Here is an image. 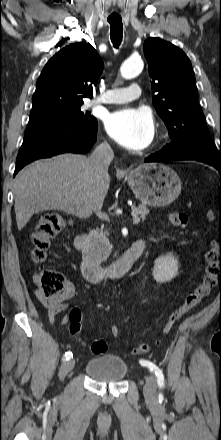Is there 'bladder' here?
I'll use <instances>...</instances> for the list:
<instances>
[{
	"mask_svg": "<svg viewBox=\"0 0 221 440\" xmlns=\"http://www.w3.org/2000/svg\"><path fill=\"white\" fill-rule=\"evenodd\" d=\"M86 374L97 381L118 383L128 372L126 361L118 355H101L90 359L85 365Z\"/></svg>",
	"mask_w": 221,
	"mask_h": 440,
	"instance_id": "bladder-1",
	"label": "bladder"
}]
</instances>
